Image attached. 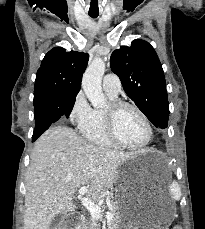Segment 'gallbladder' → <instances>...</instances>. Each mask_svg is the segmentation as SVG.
<instances>
[{"instance_id": "1", "label": "gallbladder", "mask_w": 205, "mask_h": 229, "mask_svg": "<svg viewBox=\"0 0 205 229\" xmlns=\"http://www.w3.org/2000/svg\"><path fill=\"white\" fill-rule=\"evenodd\" d=\"M70 226V218L64 217V214L56 215L51 222V229H68Z\"/></svg>"}]
</instances>
